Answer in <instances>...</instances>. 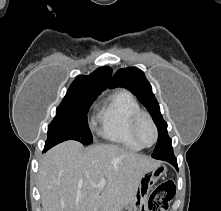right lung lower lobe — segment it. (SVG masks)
<instances>
[{
	"mask_svg": "<svg viewBox=\"0 0 221 211\" xmlns=\"http://www.w3.org/2000/svg\"><path fill=\"white\" fill-rule=\"evenodd\" d=\"M48 149H49V148H48L47 146H45V148H44V152L47 151Z\"/></svg>",
	"mask_w": 221,
	"mask_h": 211,
	"instance_id": "98d812e1",
	"label": "right lung lower lobe"
}]
</instances>
